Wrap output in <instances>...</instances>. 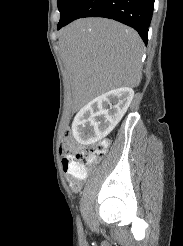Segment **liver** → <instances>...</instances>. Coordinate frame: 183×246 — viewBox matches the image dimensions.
Wrapping results in <instances>:
<instances>
[{
  "label": "liver",
  "mask_w": 183,
  "mask_h": 246,
  "mask_svg": "<svg viewBox=\"0 0 183 246\" xmlns=\"http://www.w3.org/2000/svg\"><path fill=\"white\" fill-rule=\"evenodd\" d=\"M59 48L79 105L141 82L144 44L135 30L116 21L78 19L60 31Z\"/></svg>",
  "instance_id": "liver-1"
}]
</instances>
